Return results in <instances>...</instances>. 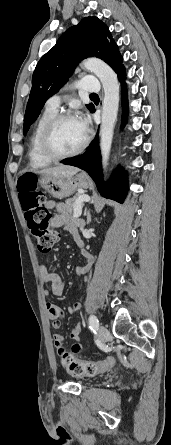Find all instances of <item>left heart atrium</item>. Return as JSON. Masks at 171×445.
Here are the masks:
<instances>
[{"label":"left heart atrium","mask_w":171,"mask_h":445,"mask_svg":"<svg viewBox=\"0 0 171 445\" xmlns=\"http://www.w3.org/2000/svg\"><path fill=\"white\" fill-rule=\"evenodd\" d=\"M79 122L81 123V125H82L83 129L85 130V132H87L88 124H89L88 119L86 117H82V118L79 119Z\"/></svg>","instance_id":"1"}]
</instances>
